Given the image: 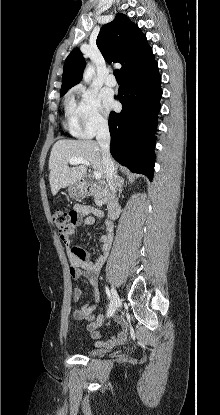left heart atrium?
I'll return each instance as SVG.
<instances>
[{"label":"left heart atrium","mask_w":220,"mask_h":415,"mask_svg":"<svg viewBox=\"0 0 220 415\" xmlns=\"http://www.w3.org/2000/svg\"><path fill=\"white\" fill-rule=\"evenodd\" d=\"M103 104L106 111H109L112 109L115 105V102L113 100L112 94L109 92L103 93Z\"/></svg>","instance_id":"obj_1"}]
</instances>
